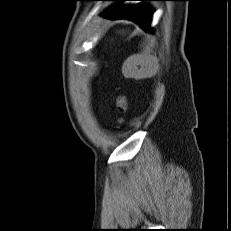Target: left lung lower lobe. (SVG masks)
<instances>
[{"mask_svg": "<svg viewBox=\"0 0 231 231\" xmlns=\"http://www.w3.org/2000/svg\"><path fill=\"white\" fill-rule=\"evenodd\" d=\"M105 1H157V0H105ZM105 17L111 19L126 18L135 21L148 32H152L150 21L152 11L145 5H131L125 8H114L104 14Z\"/></svg>", "mask_w": 231, "mask_h": 231, "instance_id": "obj_1", "label": "left lung lower lobe"}]
</instances>
